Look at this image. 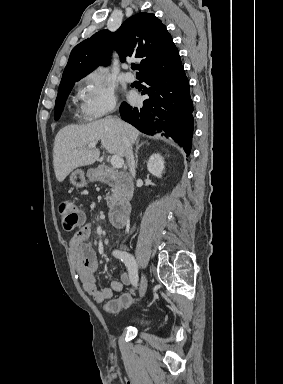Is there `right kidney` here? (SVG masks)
I'll use <instances>...</instances> for the list:
<instances>
[{"label":"right kidney","mask_w":283,"mask_h":384,"mask_svg":"<svg viewBox=\"0 0 283 384\" xmlns=\"http://www.w3.org/2000/svg\"><path fill=\"white\" fill-rule=\"evenodd\" d=\"M147 170L156 178H162L164 170V160L160 154H152L147 162Z\"/></svg>","instance_id":"1"}]
</instances>
